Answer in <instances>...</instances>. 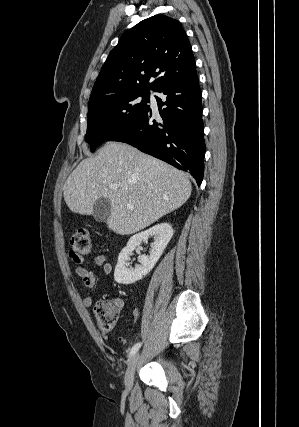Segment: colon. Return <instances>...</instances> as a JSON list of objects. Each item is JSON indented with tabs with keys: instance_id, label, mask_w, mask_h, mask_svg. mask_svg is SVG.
<instances>
[{
	"instance_id": "5ec220e1",
	"label": "colon",
	"mask_w": 299,
	"mask_h": 427,
	"mask_svg": "<svg viewBox=\"0 0 299 427\" xmlns=\"http://www.w3.org/2000/svg\"><path fill=\"white\" fill-rule=\"evenodd\" d=\"M91 252V239L87 229H78L70 239V257L74 260H81ZM119 310L109 301L101 300L94 305V315L97 325L103 333L113 331Z\"/></svg>"
}]
</instances>
